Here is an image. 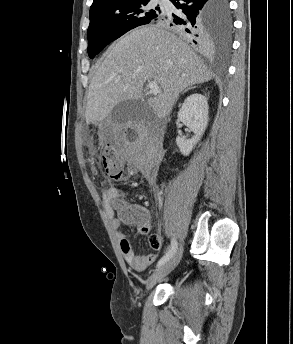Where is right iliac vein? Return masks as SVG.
<instances>
[{
	"label": "right iliac vein",
	"instance_id": "63e3f726",
	"mask_svg": "<svg viewBox=\"0 0 293 344\" xmlns=\"http://www.w3.org/2000/svg\"><path fill=\"white\" fill-rule=\"evenodd\" d=\"M182 252L183 248L180 247L173 257H171V259L154 271V273L147 280V291L151 290L160 280L167 276L177 266L181 259Z\"/></svg>",
	"mask_w": 293,
	"mask_h": 344
}]
</instances>
